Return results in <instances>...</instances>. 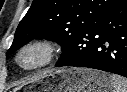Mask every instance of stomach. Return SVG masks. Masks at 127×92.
I'll return each instance as SVG.
<instances>
[{"instance_id":"1","label":"stomach","mask_w":127,"mask_h":92,"mask_svg":"<svg viewBox=\"0 0 127 92\" xmlns=\"http://www.w3.org/2000/svg\"><path fill=\"white\" fill-rule=\"evenodd\" d=\"M38 92H112L107 74L87 68H65L42 75L35 81Z\"/></svg>"}]
</instances>
